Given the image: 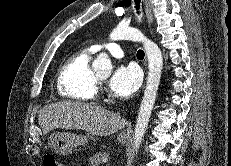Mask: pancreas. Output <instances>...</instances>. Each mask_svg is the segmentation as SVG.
Segmentation results:
<instances>
[{"instance_id": "obj_1", "label": "pancreas", "mask_w": 231, "mask_h": 166, "mask_svg": "<svg viewBox=\"0 0 231 166\" xmlns=\"http://www.w3.org/2000/svg\"><path fill=\"white\" fill-rule=\"evenodd\" d=\"M109 156L106 152H97L89 157V166H98L104 158Z\"/></svg>"}]
</instances>
